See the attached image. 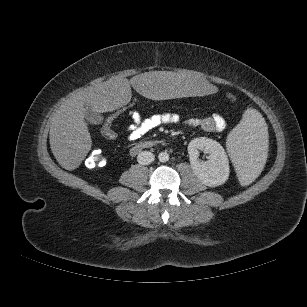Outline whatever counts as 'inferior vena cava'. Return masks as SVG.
Wrapping results in <instances>:
<instances>
[{"instance_id": "1", "label": "inferior vena cava", "mask_w": 307, "mask_h": 307, "mask_svg": "<svg viewBox=\"0 0 307 307\" xmlns=\"http://www.w3.org/2000/svg\"><path fill=\"white\" fill-rule=\"evenodd\" d=\"M137 161L141 165H149L154 161V155L150 151H142L138 154Z\"/></svg>"}]
</instances>
